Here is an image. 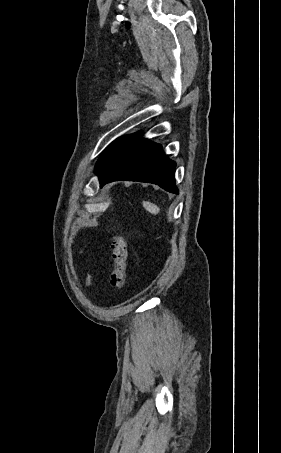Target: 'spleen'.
Instances as JSON below:
<instances>
[{
  "label": "spleen",
  "instance_id": "1",
  "mask_svg": "<svg viewBox=\"0 0 281 453\" xmlns=\"http://www.w3.org/2000/svg\"><path fill=\"white\" fill-rule=\"evenodd\" d=\"M142 204L144 208H146V210H149V212H152V214H157V212H159L160 210L157 204H153V202H149V200H143Z\"/></svg>",
  "mask_w": 281,
  "mask_h": 453
}]
</instances>
